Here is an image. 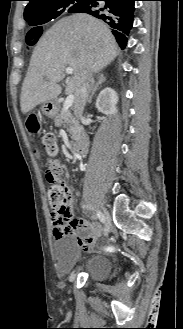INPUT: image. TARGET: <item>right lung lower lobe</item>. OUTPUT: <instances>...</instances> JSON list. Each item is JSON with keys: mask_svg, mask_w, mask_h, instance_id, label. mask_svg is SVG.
Masks as SVG:
<instances>
[{"mask_svg": "<svg viewBox=\"0 0 183 329\" xmlns=\"http://www.w3.org/2000/svg\"><path fill=\"white\" fill-rule=\"evenodd\" d=\"M137 0H83L73 13H87L103 20L112 28V33L122 48L127 44L126 35L133 25L134 3ZM34 31H32L31 36Z\"/></svg>", "mask_w": 183, "mask_h": 329, "instance_id": "right-lung-lower-lobe-1", "label": "right lung lower lobe"}]
</instances>
